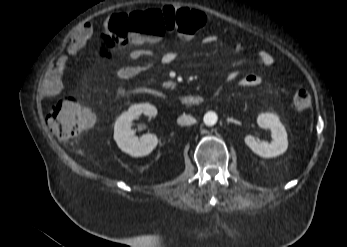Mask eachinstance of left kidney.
<instances>
[{"label": "left kidney", "instance_id": "left-kidney-1", "mask_svg": "<svg viewBox=\"0 0 347 247\" xmlns=\"http://www.w3.org/2000/svg\"><path fill=\"white\" fill-rule=\"evenodd\" d=\"M257 123L261 128L270 129L272 142H257L252 135H247L245 144L263 158H272L283 154L288 148L287 132L277 115L273 113H263L257 118Z\"/></svg>", "mask_w": 347, "mask_h": 247}]
</instances>
